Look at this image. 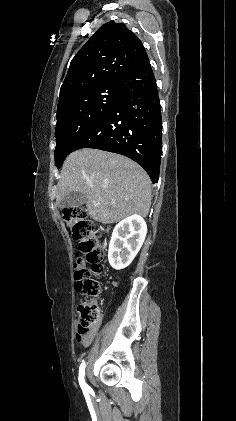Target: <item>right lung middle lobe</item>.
<instances>
[{
	"label": "right lung middle lobe",
	"instance_id": "1",
	"mask_svg": "<svg viewBox=\"0 0 236 421\" xmlns=\"http://www.w3.org/2000/svg\"><path fill=\"white\" fill-rule=\"evenodd\" d=\"M118 86L79 94L57 109L55 164L60 168L76 143L94 128L120 100Z\"/></svg>",
	"mask_w": 236,
	"mask_h": 421
}]
</instances>
